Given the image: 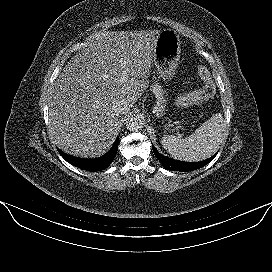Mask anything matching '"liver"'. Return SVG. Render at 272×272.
<instances>
[{"instance_id": "6515ba94", "label": "liver", "mask_w": 272, "mask_h": 272, "mask_svg": "<svg viewBox=\"0 0 272 272\" xmlns=\"http://www.w3.org/2000/svg\"><path fill=\"white\" fill-rule=\"evenodd\" d=\"M159 34L97 32L64 66L49 102V127L61 150L94 158L110 148L118 129L113 106L122 101L130 108L147 89Z\"/></svg>"}]
</instances>
